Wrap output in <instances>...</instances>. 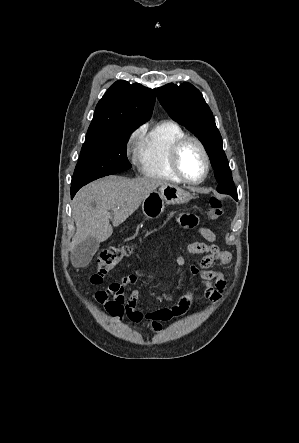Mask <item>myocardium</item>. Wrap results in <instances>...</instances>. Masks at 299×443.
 <instances>
[{
  "mask_svg": "<svg viewBox=\"0 0 299 443\" xmlns=\"http://www.w3.org/2000/svg\"><path fill=\"white\" fill-rule=\"evenodd\" d=\"M190 142L195 143L199 147V149L202 153L203 159H204V173L199 179H196V180H192V179L188 178L185 175V173L183 172L181 165H180L181 151L184 148V146ZM171 165H172L173 171L181 179V181H183L187 184H192V185H196V184H200V183L204 182L210 172V158H209V154L207 152V149H206L205 145L203 144V142L195 136L186 135V136L180 138L173 145L172 150H171Z\"/></svg>",
  "mask_w": 299,
  "mask_h": 443,
  "instance_id": "f54148a6",
  "label": "myocardium"
}]
</instances>
